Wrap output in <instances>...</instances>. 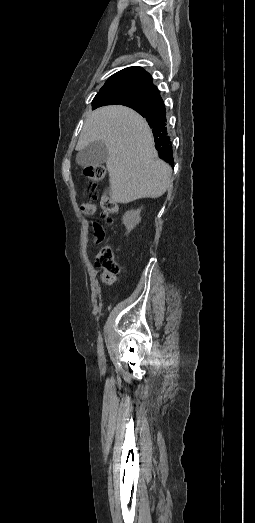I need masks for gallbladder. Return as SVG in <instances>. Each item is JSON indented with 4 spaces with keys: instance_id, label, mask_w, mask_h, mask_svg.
Masks as SVG:
<instances>
[{
    "instance_id": "bac80fb5",
    "label": "gallbladder",
    "mask_w": 255,
    "mask_h": 523,
    "mask_svg": "<svg viewBox=\"0 0 255 523\" xmlns=\"http://www.w3.org/2000/svg\"><path fill=\"white\" fill-rule=\"evenodd\" d=\"M109 158V152L101 140L98 142H90L89 146L79 150L76 156V162L82 168H88V166H102Z\"/></svg>"
}]
</instances>
